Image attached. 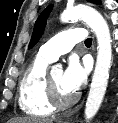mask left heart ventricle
I'll return each mask as SVG.
<instances>
[{
    "label": "left heart ventricle",
    "instance_id": "obj_1",
    "mask_svg": "<svg viewBox=\"0 0 118 123\" xmlns=\"http://www.w3.org/2000/svg\"><path fill=\"white\" fill-rule=\"evenodd\" d=\"M51 79L61 98L66 99L73 95V93L69 91L63 84V72L61 70L54 71L51 74Z\"/></svg>",
    "mask_w": 118,
    "mask_h": 123
}]
</instances>
